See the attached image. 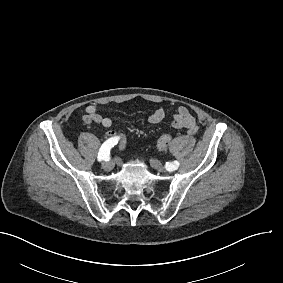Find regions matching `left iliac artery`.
<instances>
[{"instance_id": "left-iliac-artery-1", "label": "left iliac artery", "mask_w": 283, "mask_h": 283, "mask_svg": "<svg viewBox=\"0 0 283 283\" xmlns=\"http://www.w3.org/2000/svg\"><path fill=\"white\" fill-rule=\"evenodd\" d=\"M171 167L174 168V169H177L179 167V162L178 161L172 162V166Z\"/></svg>"}]
</instances>
